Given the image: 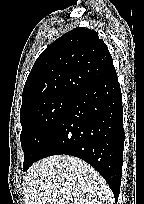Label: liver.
<instances>
[{
	"instance_id": "obj_1",
	"label": "liver",
	"mask_w": 144,
	"mask_h": 204,
	"mask_svg": "<svg viewBox=\"0 0 144 204\" xmlns=\"http://www.w3.org/2000/svg\"><path fill=\"white\" fill-rule=\"evenodd\" d=\"M25 204H113L104 178L88 163L54 155L35 163L23 179Z\"/></svg>"
}]
</instances>
